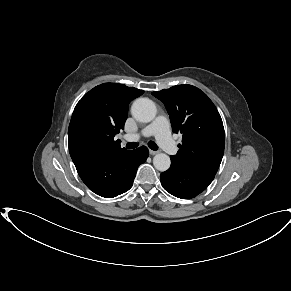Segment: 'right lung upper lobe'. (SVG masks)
Returning <instances> with one entry per match:
<instances>
[{"instance_id": "cb5924a9", "label": "right lung upper lobe", "mask_w": 291, "mask_h": 291, "mask_svg": "<svg viewBox=\"0 0 291 291\" xmlns=\"http://www.w3.org/2000/svg\"><path fill=\"white\" fill-rule=\"evenodd\" d=\"M143 92L123 84L104 83L86 93L70 121L69 150L76 148L104 157L126 151L114 137L124 127L129 103Z\"/></svg>"}]
</instances>
